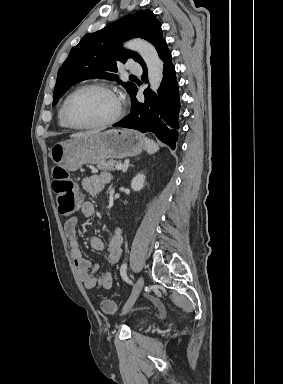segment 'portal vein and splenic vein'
<instances>
[{
  "label": "portal vein and splenic vein",
  "instance_id": "1",
  "mask_svg": "<svg viewBox=\"0 0 283 384\" xmlns=\"http://www.w3.org/2000/svg\"><path fill=\"white\" fill-rule=\"evenodd\" d=\"M126 166H123V164H118V166H116V170H125Z\"/></svg>",
  "mask_w": 283,
  "mask_h": 384
}]
</instances>
